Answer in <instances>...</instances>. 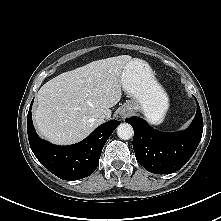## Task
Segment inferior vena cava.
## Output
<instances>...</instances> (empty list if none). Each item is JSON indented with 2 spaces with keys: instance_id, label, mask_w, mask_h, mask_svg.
<instances>
[{
  "instance_id": "602c4592",
  "label": "inferior vena cava",
  "mask_w": 221,
  "mask_h": 221,
  "mask_svg": "<svg viewBox=\"0 0 221 221\" xmlns=\"http://www.w3.org/2000/svg\"><path fill=\"white\" fill-rule=\"evenodd\" d=\"M104 119H105V115H101L99 117V119H97V122H99L100 124L104 122Z\"/></svg>"
}]
</instances>
